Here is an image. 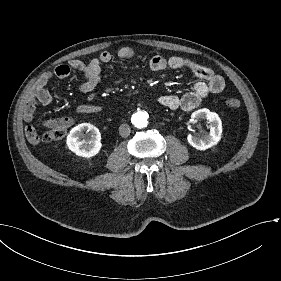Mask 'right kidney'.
Listing matches in <instances>:
<instances>
[{
    "label": "right kidney",
    "mask_w": 281,
    "mask_h": 281,
    "mask_svg": "<svg viewBox=\"0 0 281 281\" xmlns=\"http://www.w3.org/2000/svg\"><path fill=\"white\" fill-rule=\"evenodd\" d=\"M99 129L90 123H81L71 129V151L82 157L95 156L101 148Z\"/></svg>",
    "instance_id": "ca27d5eb"
}]
</instances>
